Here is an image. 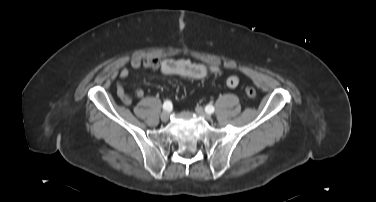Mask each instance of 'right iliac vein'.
Here are the masks:
<instances>
[{
	"instance_id": "obj_1",
	"label": "right iliac vein",
	"mask_w": 376,
	"mask_h": 202,
	"mask_svg": "<svg viewBox=\"0 0 376 202\" xmlns=\"http://www.w3.org/2000/svg\"><path fill=\"white\" fill-rule=\"evenodd\" d=\"M170 113L169 111L165 110L161 113L160 118L163 122H167L169 119Z\"/></svg>"
}]
</instances>
